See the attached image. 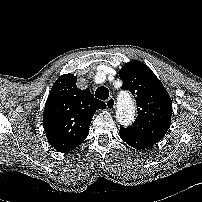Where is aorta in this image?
<instances>
[{
	"label": "aorta",
	"instance_id": "obj_1",
	"mask_svg": "<svg viewBox=\"0 0 202 202\" xmlns=\"http://www.w3.org/2000/svg\"><path fill=\"white\" fill-rule=\"evenodd\" d=\"M135 113V104L131 97L127 94L122 95L119 98L116 110L118 122L123 126H129L134 121Z\"/></svg>",
	"mask_w": 202,
	"mask_h": 202
}]
</instances>
